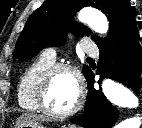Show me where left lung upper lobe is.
Listing matches in <instances>:
<instances>
[{
	"label": "left lung upper lobe",
	"mask_w": 142,
	"mask_h": 128,
	"mask_svg": "<svg viewBox=\"0 0 142 128\" xmlns=\"http://www.w3.org/2000/svg\"><path fill=\"white\" fill-rule=\"evenodd\" d=\"M85 6L100 9L110 23L108 37L92 35L98 47L136 22L129 0H47L28 18L17 40L13 58L27 60L47 46L61 45L65 42L69 30L76 36L90 35L89 28L72 20L73 15ZM89 71L90 68L84 65L85 77Z\"/></svg>",
	"instance_id": "1"
}]
</instances>
